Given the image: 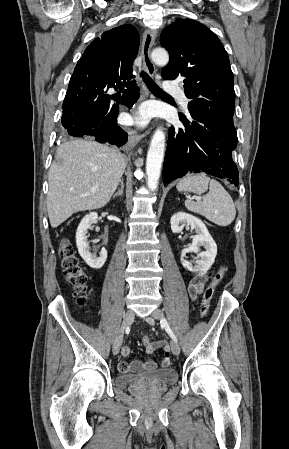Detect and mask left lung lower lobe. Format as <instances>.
<instances>
[{
    "label": "left lung lower lobe",
    "mask_w": 289,
    "mask_h": 449,
    "mask_svg": "<svg viewBox=\"0 0 289 449\" xmlns=\"http://www.w3.org/2000/svg\"><path fill=\"white\" fill-rule=\"evenodd\" d=\"M191 119L180 116L185 129L171 127L163 166V182L188 172H206L238 186V169L233 151L237 146L234 126L201 114Z\"/></svg>",
    "instance_id": "0a47b994"
}]
</instances>
